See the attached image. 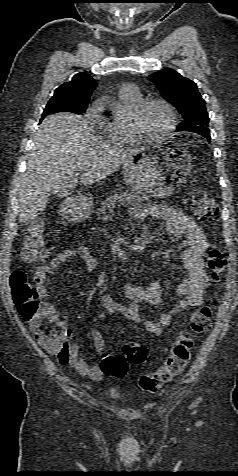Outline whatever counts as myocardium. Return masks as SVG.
<instances>
[{
  "mask_svg": "<svg viewBox=\"0 0 238 476\" xmlns=\"http://www.w3.org/2000/svg\"><path fill=\"white\" fill-rule=\"evenodd\" d=\"M152 104H160L166 108L169 113L170 121L168 126L159 134L146 133L140 126V119L145 110ZM129 129L137 141L146 142L160 140L172 133L177 125V114L173 105L163 98H147L142 100L130 113L128 118Z\"/></svg>",
  "mask_w": 238,
  "mask_h": 476,
  "instance_id": "f54148a6",
  "label": "myocardium"
}]
</instances>
